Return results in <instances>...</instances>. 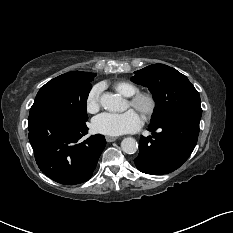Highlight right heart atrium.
<instances>
[{
	"label": "right heart atrium",
	"mask_w": 233,
	"mask_h": 233,
	"mask_svg": "<svg viewBox=\"0 0 233 233\" xmlns=\"http://www.w3.org/2000/svg\"><path fill=\"white\" fill-rule=\"evenodd\" d=\"M101 86L95 85L86 98V109L88 112H95L100 107Z\"/></svg>",
	"instance_id": "right-heart-atrium-1"
}]
</instances>
